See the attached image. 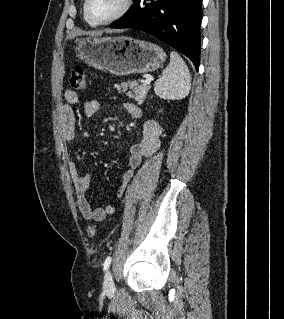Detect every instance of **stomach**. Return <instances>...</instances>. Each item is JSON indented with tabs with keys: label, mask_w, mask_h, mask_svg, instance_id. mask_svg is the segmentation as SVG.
<instances>
[{
	"label": "stomach",
	"mask_w": 284,
	"mask_h": 319,
	"mask_svg": "<svg viewBox=\"0 0 284 319\" xmlns=\"http://www.w3.org/2000/svg\"><path fill=\"white\" fill-rule=\"evenodd\" d=\"M75 52L89 66L117 76L155 71L166 58L158 45L124 36L82 38Z\"/></svg>",
	"instance_id": "stomach-1"
}]
</instances>
